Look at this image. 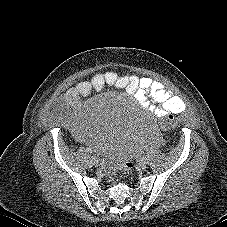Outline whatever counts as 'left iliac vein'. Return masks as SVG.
Masks as SVG:
<instances>
[{"label":"left iliac vein","instance_id":"obj_1","mask_svg":"<svg viewBox=\"0 0 227 227\" xmlns=\"http://www.w3.org/2000/svg\"><path fill=\"white\" fill-rule=\"evenodd\" d=\"M147 158L146 157H142L138 160V164L141 168H145L147 166Z\"/></svg>","mask_w":227,"mask_h":227}]
</instances>
